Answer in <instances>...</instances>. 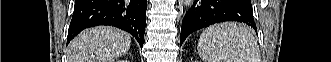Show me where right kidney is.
I'll use <instances>...</instances> for the list:
<instances>
[{
    "label": "right kidney",
    "mask_w": 331,
    "mask_h": 62,
    "mask_svg": "<svg viewBox=\"0 0 331 62\" xmlns=\"http://www.w3.org/2000/svg\"><path fill=\"white\" fill-rule=\"evenodd\" d=\"M121 62H127V60H121Z\"/></svg>",
    "instance_id": "ca27d5eb"
}]
</instances>
